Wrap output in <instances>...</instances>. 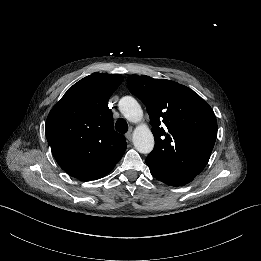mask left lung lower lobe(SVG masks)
<instances>
[{
	"instance_id": "1",
	"label": "left lung lower lobe",
	"mask_w": 261,
	"mask_h": 261,
	"mask_svg": "<svg viewBox=\"0 0 261 261\" xmlns=\"http://www.w3.org/2000/svg\"><path fill=\"white\" fill-rule=\"evenodd\" d=\"M146 164L149 166L152 176L171 186H184L198 175L169 169L148 158H146Z\"/></svg>"
}]
</instances>
